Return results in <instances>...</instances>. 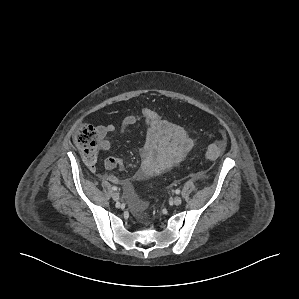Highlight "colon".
Listing matches in <instances>:
<instances>
[{"mask_svg":"<svg viewBox=\"0 0 299 299\" xmlns=\"http://www.w3.org/2000/svg\"><path fill=\"white\" fill-rule=\"evenodd\" d=\"M74 141L86 163L89 166H93L97 159L100 143L96 129L86 123L80 124L75 130ZM225 148L226 143L224 141L212 143L208 146L205 157L209 160H214L224 153Z\"/></svg>","mask_w":299,"mask_h":299,"instance_id":"colon-1","label":"colon"}]
</instances>
